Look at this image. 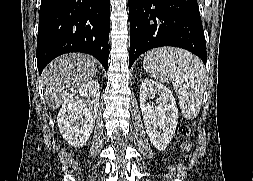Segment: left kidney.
Returning <instances> with one entry per match:
<instances>
[{
  "label": "left kidney",
  "mask_w": 253,
  "mask_h": 181,
  "mask_svg": "<svg viewBox=\"0 0 253 181\" xmlns=\"http://www.w3.org/2000/svg\"><path fill=\"white\" fill-rule=\"evenodd\" d=\"M140 108L151 143L157 150H165L178 123L172 92L163 84L144 78L140 87Z\"/></svg>",
  "instance_id": "1"
}]
</instances>
